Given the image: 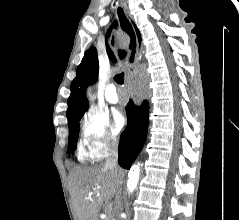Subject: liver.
I'll use <instances>...</instances> for the list:
<instances>
[{"mask_svg": "<svg viewBox=\"0 0 239 220\" xmlns=\"http://www.w3.org/2000/svg\"><path fill=\"white\" fill-rule=\"evenodd\" d=\"M124 172L121 168L99 165L78 168L70 175L69 187L73 207L79 220H99V210L104 201H120L119 187Z\"/></svg>", "mask_w": 239, "mask_h": 220, "instance_id": "obj_1", "label": "liver"}]
</instances>
